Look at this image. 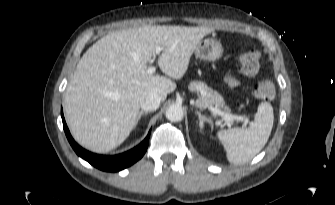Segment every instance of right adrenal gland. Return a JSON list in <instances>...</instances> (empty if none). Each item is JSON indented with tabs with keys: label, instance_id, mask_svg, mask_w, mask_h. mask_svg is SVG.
Listing matches in <instances>:
<instances>
[{
	"label": "right adrenal gland",
	"instance_id": "1",
	"mask_svg": "<svg viewBox=\"0 0 335 205\" xmlns=\"http://www.w3.org/2000/svg\"><path fill=\"white\" fill-rule=\"evenodd\" d=\"M147 114H148L147 111H140V112L138 113V116H137L135 125H137V123H138V121L140 120V118H141L142 115H147Z\"/></svg>",
	"mask_w": 335,
	"mask_h": 205
}]
</instances>
